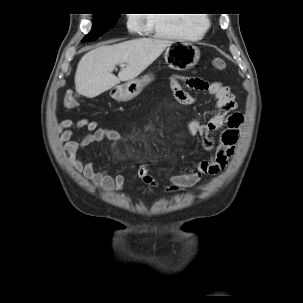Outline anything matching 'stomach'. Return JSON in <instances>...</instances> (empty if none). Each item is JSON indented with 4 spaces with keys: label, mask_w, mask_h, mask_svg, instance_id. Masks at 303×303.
I'll list each match as a JSON object with an SVG mask.
<instances>
[{
    "label": "stomach",
    "mask_w": 303,
    "mask_h": 303,
    "mask_svg": "<svg viewBox=\"0 0 303 303\" xmlns=\"http://www.w3.org/2000/svg\"><path fill=\"white\" fill-rule=\"evenodd\" d=\"M164 58L170 68L185 71L197 64L200 58L199 49L191 43L175 41L165 51ZM155 75L148 73L142 78H135L116 86L111 95L118 101H127L136 97Z\"/></svg>",
    "instance_id": "1"
}]
</instances>
